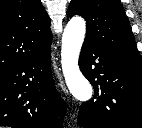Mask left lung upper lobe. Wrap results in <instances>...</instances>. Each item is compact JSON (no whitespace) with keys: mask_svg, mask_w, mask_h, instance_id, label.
I'll return each instance as SVG.
<instances>
[{"mask_svg":"<svg viewBox=\"0 0 142 128\" xmlns=\"http://www.w3.org/2000/svg\"><path fill=\"white\" fill-rule=\"evenodd\" d=\"M67 15H81L86 20L85 41L107 49L123 61L142 65L120 0H71Z\"/></svg>","mask_w":142,"mask_h":128,"instance_id":"obj_1","label":"left lung upper lobe"}]
</instances>
